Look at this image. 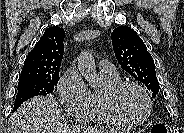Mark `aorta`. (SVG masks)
I'll use <instances>...</instances> for the list:
<instances>
[{
	"label": "aorta",
	"mask_w": 184,
	"mask_h": 133,
	"mask_svg": "<svg viewBox=\"0 0 184 133\" xmlns=\"http://www.w3.org/2000/svg\"><path fill=\"white\" fill-rule=\"evenodd\" d=\"M78 69L82 76L89 82L91 86L96 84L97 72L94 59L88 51L82 52L78 58Z\"/></svg>",
	"instance_id": "762f6f07"
}]
</instances>
